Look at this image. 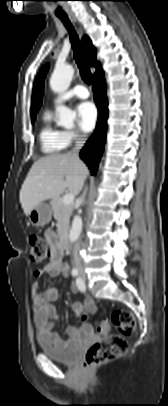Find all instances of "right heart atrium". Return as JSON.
<instances>
[{
    "label": "right heart atrium",
    "instance_id": "right-heart-atrium-1",
    "mask_svg": "<svg viewBox=\"0 0 168 406\" xmlns=\"http://www.w3.org/2000/svg\"><path fill=\"white\" fill-rule=\"evenodd\" d=\"M64 135L66 137L68 144L78 142L84 139V135L77 130H66L64 131Z\"/></svg>",
    "mask_w": 168,
    "mask_h": 406
}]
</instances>
